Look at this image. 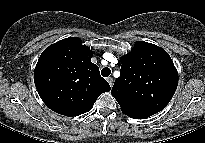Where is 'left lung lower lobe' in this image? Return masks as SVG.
Instances as JSON below:
<instances>
[{"label":"left lung lower lobe","mask_w":205,"mask_h":143,"mask_svg":"<svg viewBox=\"0 0 205 143\" xmlns=\"http://www.w3.org/2000/svg\"><path fill=\"white\" fill-rule=\"evenodd\" d=\"M151 115H153V114H132V115H128V116L131 118H134V119H144V118H147Z\"/></svg>","instance_id":"1"}]
</instances>
